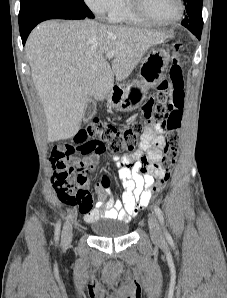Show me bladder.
Here are the masks:
<instances>
[{"mask_svg":"<svg viewBox=\"0 0 227 298\" xmlns=\"http://www.w3.org/2000/svg\"><path fill=\"white\" fill-rule=\"evenodd\" d=\"M91 229L99 237L116 238L126 236L130 231V226L120 220H98L91 224Z\"/></svg>","mask_w":227,"mask_h":298,"instance_id":"bladder-1","label":"bladder"}]
</instances>
